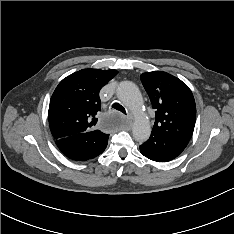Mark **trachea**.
I'll return each mask as SVG.
<instances>
[{"label": "trachea", "mask_w": 234, "mask_h": 234, "mask_svg": "<svg viewBox=\"0 0 234 234\" xmlns=\"http://www.w3.org/2000/svg\"><path fill=\"white\" fill-rule=\"evenodd\" d=\"M112 108H114V109H116V110H118V111H120V112L126 114L125 108H124L122 105H120L119 103H114V104L112 105Z\"/></svg>", "instance_id": "trachea-1"}]
</instances>
